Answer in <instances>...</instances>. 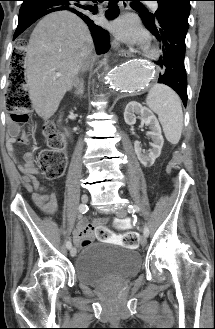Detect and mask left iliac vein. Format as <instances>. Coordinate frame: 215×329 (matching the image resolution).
<instances>
[{
    "label": "left iliac vein",
    "instance_id": "obj_1",
    "mask_svg": "<svg viewBox=\"0 0 215 329\" xmlns=\"http://www.w3.org/2000/svg\"><path fill=\"white\" fill-rule=\"evenodd\" d=\"M116 215L119 218H124L127 215V211L125 209H122V208L118 209L117 212H116ZM140 243H141L142 246H145L146 243H147V239H146V236L144 234L141 235V237H140Z\"/></svg>",
    "mask_w": 215,
    "mask_h": 329
}]
</instances>
